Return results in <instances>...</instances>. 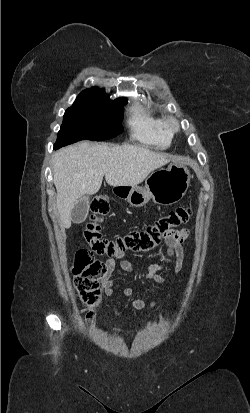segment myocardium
Segmentation results:
<instances>
[{"label":"myocardium","instance_id":"myocardium-1","mask_svg":"<svg viewBox=\"0 0 250 413\" xmlns=\"http://www.w3.org/2000/svg\"><path fill=\"white\" fill-rule=\"evenodd\" d=\"M164 126L169 134H174L179 131L180 122L176 117L168 115L164 118Z\"/></svg>","mask_w":250,"mask_h":413}]
</instances>
